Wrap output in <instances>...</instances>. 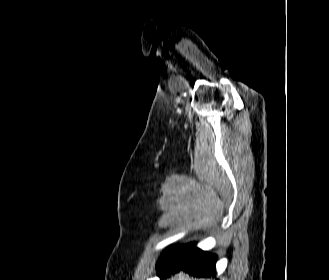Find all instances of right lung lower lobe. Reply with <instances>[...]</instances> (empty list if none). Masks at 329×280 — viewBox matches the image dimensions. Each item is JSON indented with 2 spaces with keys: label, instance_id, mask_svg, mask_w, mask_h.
<instances>
[{
  "label": "right lung lower lobe",
  "instance_id": "98d812e1",
  "mask_svg": "<svg viewBox=\"0 0 329 280\" xmlns=\"http://www.w3.org/2000/svg\"><path fill=\"white\" fill-rule=\"evenodd\" d=\"M216 256L201 251L195 244L170 247L158 263L157 274L170 276L185 271L197 277L216 274Z\"/></svg>",
  "mask_w": 329,
  "mask_h": 280
}]
</instances>
